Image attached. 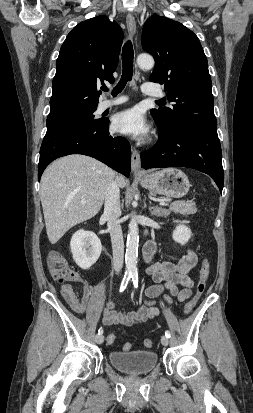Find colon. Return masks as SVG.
I'll return each instance as SVG.
<instances>
[{
  "mask_svg": "<svg viewBox=\"0 0 253 413\" xmlns=\"http://www.w3.org/2000/svg\"><path fill=\"white\" fill-rule=\"evenodd\" d=\"M47 264H48V268H49V271L52 277L58 282L66 283V282H70L73 280L75 273L70 268L68 262L66 261V259L60 252L58 251L50 252L47 258ZM210 268H211L210 262L208 261V259H204L201 264V268L199 272V279L196 284V293L194 297L191 300H189L184 306L185 314H189L190 312H192L198 299L204 293L205 288H206V283H207L209 273H210ZM106 339H107V342L111 344L115 341L116 337L113 333H109ZM152 345H153V342L151 339L144 340L145 347L150 348L152 347ZM123 349L125 351H129L131 349V344L130 343L124 344Z\"/></svg>",
  "mask_w": 253,
  "mask_h": 413,
  "instance_id": "obj_1",
  "label": "colon"
}]
</instances>
